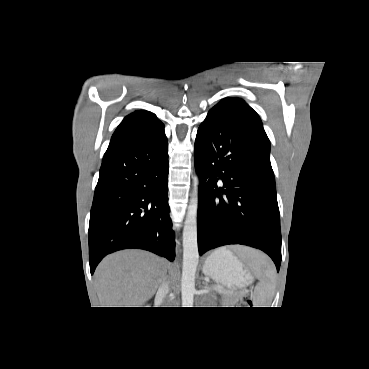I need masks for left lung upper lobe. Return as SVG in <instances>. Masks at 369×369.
<instances>
[{"mask_svg": "<svg viewBox=\"0 0 369 369\" xmlns=\"http://www.w3.org/2000/svg\"><path fill=\"white\" fill-rule=\"evenodd\" d=\"M209 112H220L237 119L242 124L250 127L270 147L269 139L263 129L258 114L243 100L238 98H227L220 101Z\"/></svg>", "mask_w": 369, "mask_h": 369, "instance_id": "1", "label": "left lung upper lobe"}]
</instances>
